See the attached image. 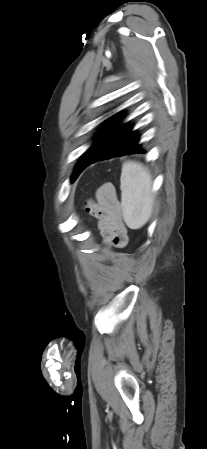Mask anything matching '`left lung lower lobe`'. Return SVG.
I'll return each mask as SVG.
<instances>
[{"mask_svg":"<svg viewBox=\"0 0 207 449\" xmlns=\"http://www.w3.org/2000/svg\"><path fill=\"white\" fill-rule=\"evenodd\" d=\"M135 153L143 154L145 151L139 144V136L136 131H132V126L124 124L117 127L105 140L89 165L103 159Z\"/></svg>","mask_w":207,"mask_h":449,"instance_id":"1","label":"left lung lower lobe"}]
</instances>
